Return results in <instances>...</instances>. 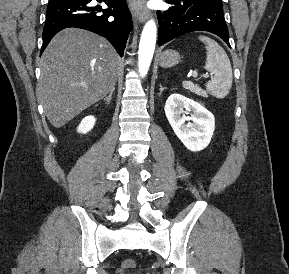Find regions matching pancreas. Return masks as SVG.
<instances>
[{"instance_id":"obj_1","label":"pancreas","mask_w":289,"mask_h":274,"mask_svg":"<svg viewBox=\"0 0 289 274\" xmlns=\"http://www.w3.org/2000/svg\"><path fill=\"white\" fill-rule=\"evenodd\" d=\"M184 87L196 95L207 97V93L203 89H201L198 85H195L193 83H185Z\"/></svg>"}]
</instances>
